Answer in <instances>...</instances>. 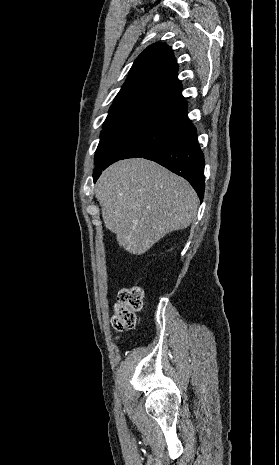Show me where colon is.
Returning a JSON list of instances; mask_svg holds the SVG:
<instances>
[{
    "mask_svg": "<svg viewBox=\"0 0 279 465\" xmlns=\"http://www.w3.org/2000/svg\"><path fill=\"white\" fill-rule=\"evenodd\" d=\"M144 303V290L139 285L122 289L117 297L112 316V325L116 331H125L134 328L136 314L142 310Z\"/></svg>",
    "mask_w": 279,
    "mask_h": 465,
    "instance_id": "obj_1",
    "label": "colon"
}]
</instances>
